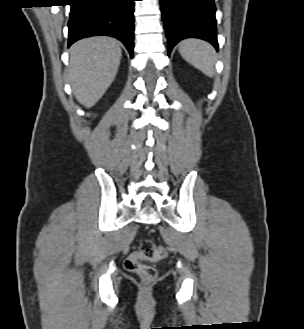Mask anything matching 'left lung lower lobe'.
Wrapping results in <instances>:
<instances>
[{
    "label": "left lung lower lobe",
    "instance_id": "0a47b994",
    "mask_svg": "<svg viewBox=\"0 0 304 329\" xmlns=\"http://www.w3.org/2000/svg\"><path fill=\"white\" fill-rule=\"evenodd\" d=\"M168 55L182 39L194 37L218 50L214 0H160Z\"/></svg>",
    "mask_w": 304,
    "mask_h": 329
}]
</instances>
